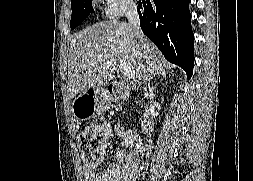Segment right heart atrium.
I'll use <instances>...</instances> for the list:
<instances>
[{
  "label": "right heart atrium",
  "instance_id": "1",
  "mask_svg": "<svg viewBox=\"0 0 253 181\" xmlns=\"http://www.w3.org/2000/svg\"><path fill=\"white\" fill-rule=\"evenodd\" d=\"M101 2L107 15L114 18L121 17L136 8L135 0H101Z\"/></svg>",
  "mask_w": 253,
  "mask_h": 181
}]
</instances>
